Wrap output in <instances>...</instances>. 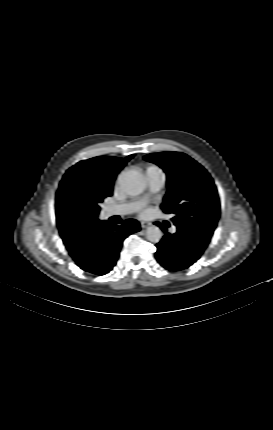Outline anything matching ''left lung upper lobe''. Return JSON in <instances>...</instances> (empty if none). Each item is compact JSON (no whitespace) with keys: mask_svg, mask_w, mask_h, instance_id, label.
Segmentation results:
<instances>
[{"mask_svg":"<svg viewBox=\"0 0 273 430\" xmlns=\"http://www.w3.org/2000/svg\"><path fill=\"white\" fill-rule=\"evenodd\" d=\"M144 158L167 174L168 191L161 209L173 215L177 227L207 247L220 215L217 189L209 173L180 152L153 153Z\"/></svg>","mask_w":273,"mask_h":430,"instance_id":"left-lung-upper-lobe-1","label":"left lung upper lobe"}]
</instances>
